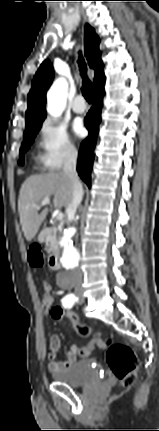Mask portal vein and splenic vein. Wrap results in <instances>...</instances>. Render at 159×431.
I'll use <instances>...</instances> for the list:
<instances>
[{"label":"portal vein and splenic vein","instance_id":"obj_1","mask_svg":"<svg viewBox=\"0 0 159 431\" xmlns=\"http://www.w3.org/2000/svg\"><path fill=\"white\" fill-rule=\"evenodd\" d=\"M48 204H50V199L48 197H46L42 200V202L40 203L39 206H36V209L39 210V209H41V207L48 205ZM63 218H64L63 213L60 212L57 214V220H63Z\"/></svg>","mask_w":159,"mask_h":431}]
</instances>
